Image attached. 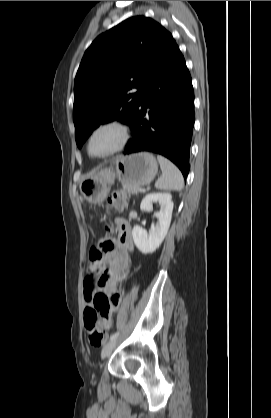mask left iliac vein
Instances as JSON below:
<instances>
[{
    "instance_id": "obj_1",
    "label": "left iliac vein",
    "mask_w": 271,
    "mask_h": 418,
    "mask_svg": "<svg viewBox=\"0 0 271 418\" xmlns=\"http://www.w3.org/2000/svg\"><path fill=\"white\" fill-rule=\"evenodd\" d=\"M116 344H117V339H114L108 342L102 349V353H101L102 357L103 358L108 357L114 350Z\"/></svg>"
}]
</instances>
